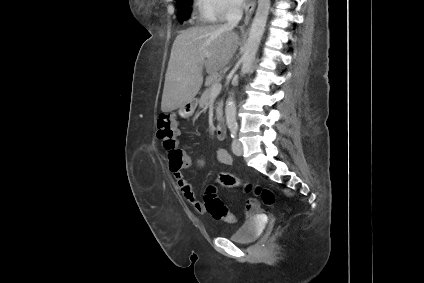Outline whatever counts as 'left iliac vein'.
Wrapping results in <instances>:
<instances>
[{"label": "left iliac vein", "mask_w": 424, "mask_h": 283, "mask_svg": "<svg viewBox=\"0 0 424 283\" xmlns=\"http://www.w3.org/2000/svg\"><path fill=\"white\" fill-rule=\"evenodd\" d=\"M232 151L237 156H241L243 154V146H242V143L239 140H237V139L233 140Z\"/></svg>", "instance_id": "1"}]
</instances>
